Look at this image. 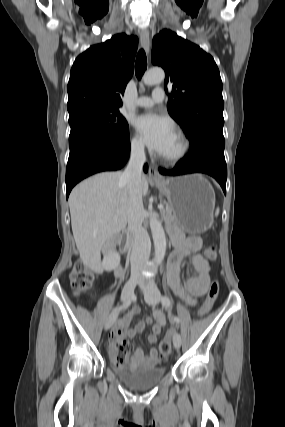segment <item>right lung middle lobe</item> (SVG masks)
<instances>
[{
    "label": "right lung middle lobe",
    "instance_id": "right-lung-middle-lobe-1",
    "mask_svg": "<svg viewBox=\"0 0 285 427\" xmlns=\"http://www.w3.org/2000/svg\"><path fill=\"white\" fill-rule=\"evenodd\" d=\"M69 146L86 135H101L121 142L128 138L129 128L118 108H86L69 115Z\"/></svg>",
    "mask_w": 285,
    "mask_h": 427
}]
</instances>
